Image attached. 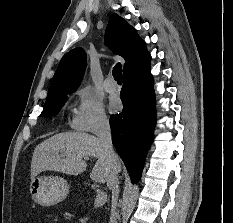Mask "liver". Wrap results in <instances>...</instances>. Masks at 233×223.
Masks as SVG:
<instances>
[{
	"mask_svg": "<svg viewBox=\"0 0 233 223\" xmlns=\"http://www.w3.org/2000/svg\"><path fill=\"white\" fill-rule=\"evenodd\" d=\"M97 159L90 171V179L99 183H112L115 173L109 157L101 147L98 137L81 131L56 133L35 147L31 159V179L41 171H60L67 175H79L88 167L89 159ZM117 173L121 171L118 159Z\"/></svg>",
	"mask_w": 233,
	"mask_h": 223,
	"instance_id": "6515ba94",
	"label": "liver"
}]
</instances>
